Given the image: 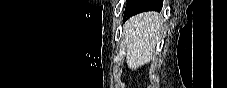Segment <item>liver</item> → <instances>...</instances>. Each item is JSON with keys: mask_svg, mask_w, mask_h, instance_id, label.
Instances as JSON below:
<instances>
[{"mask_svg": "<svg viewBox=\"0 0 227 88\" xmlns=\"http://www.w3.org/2000/svg\"><path fill=\"white\" fill-rule=\"evenodd\" d=\"M162 18L157 12L133 16L123 27L126 62L131 70L149 63L161 38Z\"/></svg>", "mask_w": 227, "mask_h": 88, "instance_id": "liver-1", "label": "liver"}]
</instances>
